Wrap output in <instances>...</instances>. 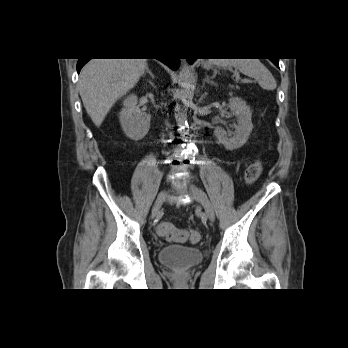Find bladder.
Masks as SVG:
<instances>
[{"label": "bladder", "instance_id": "obj_1", "mask_svg": "<svg viewBox=\"0 0 348 348\" xmlns=\"http://www.w3.org/2000/svg\"><path fill=\"white\" fill-rule=\"evenodd\" d=\"M205 256V251L200 247L169 245L159 250L158 260L164 264L178 269H187L200 263Z\"/></svg>", "mask_w": 348, "mask_h": 348}]
</instances>
